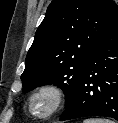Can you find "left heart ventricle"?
Masks as SVG:
<instances>
[{"label": "left heart ventricle", "mask_w": 118, "mask_h": 123, "mask_svg": "<svg viewBox=\"0 0 118 123\" xmlns=\"http://www.w3.org/2000/svg\"><path fill=\"white\" fill-rule=\"evenodd\" d=\"M50 98L47 96H42L34 101V111L39 114L47 112L50 108Z\"/></svg>", "instance_id": "b2bd125f"}]
</instances>
